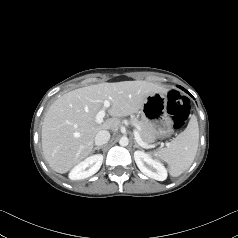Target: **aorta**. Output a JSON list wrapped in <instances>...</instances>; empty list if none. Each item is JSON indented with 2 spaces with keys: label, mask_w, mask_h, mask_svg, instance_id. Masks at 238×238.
<instances>
[{
  "label": "aorta",
  "mask_w": 238,
  "mask_h": 238,
  "mask_svg": "<svg viewBox=\"0 0 238 238\" xmlns=\"http://www.w3.org/2000/svg\"><path fill=\"white\" fill-rule=\"evenodd\" d=\"M129 143V140L127 137H122L120 140H119V144L120 146H127Z\"/></svg>",
  "instance_id": "762f6f07"
}]
</instances>
